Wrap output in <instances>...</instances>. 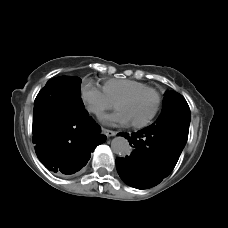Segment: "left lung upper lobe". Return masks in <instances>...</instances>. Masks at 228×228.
Returning <instances> with one entry per match:
<instances>
[{
  "instance_id": "1",
  "label": "left lung upper lobe",
  "mask_w": 228,
  "mask_h": 228,
  "mask_svg": "<svg viewBox=\"0 0 228 228\" xmlns=\"http://www.w3.org/2000/svg\"><path fill=\"white\" fill-rule=\"evenodd\" d=\"M190 119V108L184 97L175 91H170L166 92L163 110L153 124L181 132L187 139Z\"/></svg>"
}]
</instances>
